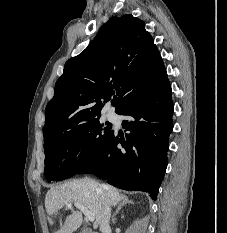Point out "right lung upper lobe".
I'll list each match as a JSON object with an SVG mask.
<instances>
[{"label": "right lung upper lobe", "mask_w": 227, "mask_h": 233, "mask_svg": "<svg viewBox=\"0 0 227 233\" xmlns=\"http://www.w3.org/2000/svg\"><path fill=\"white\" fill-rule=\"evenodd\" d=\"M167 79L143 21L131 14L111 18L83 52L65 63L55 95L46 106L44 145L99 118L112 96L119 114Z\"/></svg>", "instance_id": "right-lung-upper-lobe-1"}]
</instances>
